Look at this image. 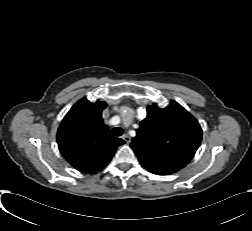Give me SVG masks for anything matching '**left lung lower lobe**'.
Segmentation results:
<instances>
[{
    "mask_svg": "<svg viewBox=\"0 0 252 231\" xmlns=\"http://www.w3.org/2000/svg\"><path fill=\"white\" fill-rule=\"evenodd\" d=\"M144 168L148 171L157 174V175H168L172 174L180 169H182L185 165L180 163H172V162H148L142 161L140 162Z\"/></svg>",
    "mask_w": 252,
    "mask_h": 231,
    "instance_id": "left-lung-lower-lobe-1",
    "label": "left lung lower lobe"
}]
</instances>
